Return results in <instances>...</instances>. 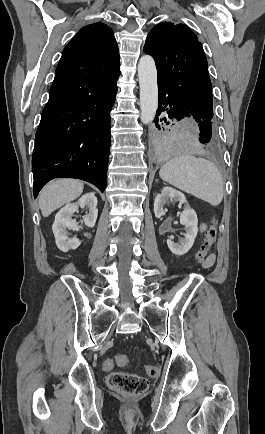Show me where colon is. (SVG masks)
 <instances>
[{
    "label": "colon",
    "instance_id": "1",
    "mask_svg": "<svg viewBox=\"0 0 265 434\" xmlns=\"http://www.w3.org/2000/svg\"><path fill=\"white\" fill-rule=\"evenodd\" d=\"M217 219H214L211 230H209L203 238L200 249L195 255V259L202 265L206 255H211L213 242L217 236ZM116 364L125 365L126 356L119 354L113 359H106L102 362L104 370H111ZM146 375L150 378H156L160 374V368L155 365L147 364L144 366ZM108 385L117 392L126 394H143L148 391L149 383L147 379L136 373L129 372H113L107 378Z\"/></svg>",
    "mask_w": 265,
    "mask_h": 434
}]
</instances>
